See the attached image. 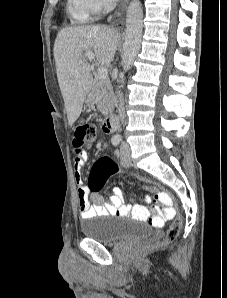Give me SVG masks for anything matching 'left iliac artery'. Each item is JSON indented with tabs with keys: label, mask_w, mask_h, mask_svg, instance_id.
I'll list each match as a JSON object with an SVG mask.
<instances>
[{
	"label": "left iliac artery",
	"mask_w": 227,
	"mask_h": 298,
	"mask_svg": "<svg viewBox=\"0 0 227 298\" xmlns=\"http://www.w3.org/2000/svg\"><path fill=\"white\" fill-rule=\"evenodd\" d=\"M116 154L118 155V150H116Z\"/></svg>",
	"instance_id": "44dca946"
}]
</instances>
